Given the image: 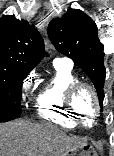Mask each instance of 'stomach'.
<instances>
[{
  "label": "stomach",
  "instance_id": "0dacf381",
  "mask_svg": "<svg viewBox=\"0 0 114 156\" xmlns=\"http://www.w3.org/2000/svg\"><path fill=\"white\" fill-rule=\"evenodd\" d=\"M67 156H98L92 143L87 140L79 147L69 151Z\"/></svg>",
  "mask_w": 114,
  "mask_h": 156
}]
</instances>
